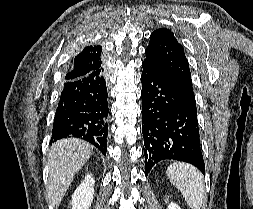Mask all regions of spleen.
Segmentation results:
<instances>
[{"label": "spleen", "instance_id": "3e777b00", "mask_svg": "<svg viewBox=\"0 0 253 209\" xmlns=\"http://www.w3.org/2000/svg\"><path fill=\"white\" fill-rule=\"evenodd\" d=\"M167 176L180 190L191 209H201L204 199V181L199 170L189 164L174 163L168 167Z\"/></svg>", "mask_w": 253, "mask_h": 209}]
</instances>
